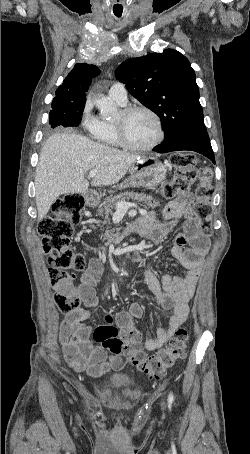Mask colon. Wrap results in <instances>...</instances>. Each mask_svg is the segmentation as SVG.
I'll list each match as a JSON object with an SVG mask.
<instances>
[{
  "mask_svg": "<svg viewBox=\"0 0 250 454\" xmlns=\"http://www.w3.org/2000/svg\"><path fill=\"white\" fill-rule=\"evenodd\" d=\"M171 162L176 175L161 188L166 199L185 194L192 183L198 182L192 215L200 231L210 236L213 232L209 200L214 193L213 173L209 167L199 166L192 154L177 153ZM85 205L84 197L72 193L57 200L52 212L38 226L42 237V248L47 258L48 275L54 288V300L63 313H73L80 307V297L74 283L75 272L86 267L85 256L71 245L74 226L80 221V212ZM107 324L98 326L93 333L96 342L101 343L112 354H125L130 363L151 378L164 376L176 362L185 355L188 330L179 327L170 342L156 354L146 357L141 349L140 334L133 324V318L123 314L113 325L111 316L105 317Z\"/></svg>",
  "mask_w": 250,
  "mask_h": 454,
  "instance_id": "1",
  "label": "colon"
}]
</instances>
